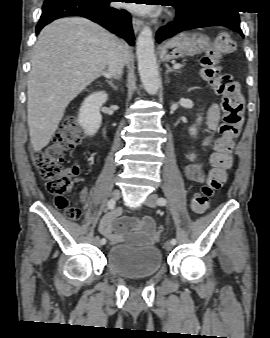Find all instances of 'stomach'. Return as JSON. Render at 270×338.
Returning a JSON list of instances; mask_svg holds the SVG:
<instances>
[{
	"label": "stomach",
	"mask_w": 270,
	"mask_h": 338,
	"mask_svg": "<svg viewBox=\"0 0 270 338\" xmlns=\"http://www.w3.org/2000/svg\"><path fill=\"white\" fill-rule=\"evenodd\" d=\"M209 38L200 33L183 32L165 41L160 47L163 61L200 54L209 48Z\"/></svg>",
	"instance_id": "stomach-1"
}]
</instances>
